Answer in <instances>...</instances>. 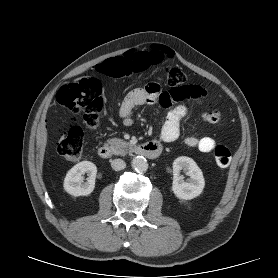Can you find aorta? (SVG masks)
Wrapping results in <instances>:
<instances>
[{
    "label": "aorta",
    "mask_w": 278,
    "mask_h": 278,
    "mask_svg": "<svg viewBox=\"0 0 278 278\" xmlns=\"http://www.w3.org/2000/svg\"><path fill=\"white\" fill-rule=\"evenodd\" d=\"M132 167L137 173H145L148 169V163L143 156H135L132 160Z\"/></svg>",
    "instance_id": "1"
}]
</instances>
